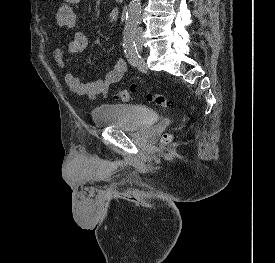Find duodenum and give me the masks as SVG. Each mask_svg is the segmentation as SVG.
I'll list each match as a JSON object with an SVG mask.
<instances>
[{"mask_svg": "<svg viewBox=\"0 0 275 263\" xmlns=\"http://www.w3.org/2000/svg\"><path fill=\"white\" fill-rule=\"evenodd\" d=\"M116 2H118V3H123L124 0H116Z\"/></svg>", "mask_w": 275, "mask_h": 263, "instance_id": "410a0bca", "label": "duodenum"}]
</instances>
